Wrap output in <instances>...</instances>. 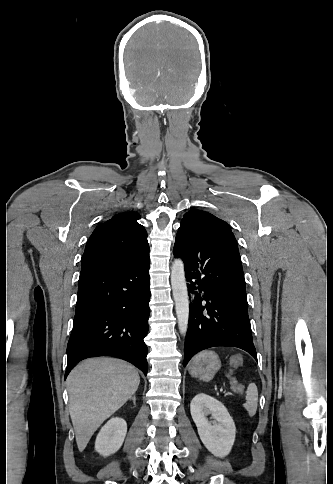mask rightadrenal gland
Returning a JSON list of instances; mask_svg holds the SVG:
<instances>
[{
    "label": "right adrenal gland",
    "mask_w": 333,
    "mask_h": 484,
    "mask_svg": "<svg viewBox=\"0 0 333 484\" xmlns=\"http://www.w3.org/2000/svg\"><path fill=\"white\" fill-rule=\"evenodd\" d=\"M132 400H133V403H134V405H135V404H136V397H135V395H134V397L132 398Z\"/></svg>",
    "instance_id": "obj_1"
}]
</instances>
